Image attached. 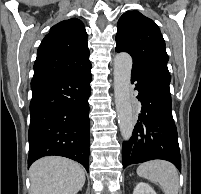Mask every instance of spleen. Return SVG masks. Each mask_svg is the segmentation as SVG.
<instances>
[{"mask_svg":"<svg viewBox=\"0 0 201 194\" xmlns=\"http://www.w3.org/2000/svg\"><path fill=\"white\" fill-rule=\"evenodd\" d=\"M137 174L152 182H158L165 194H178V172L170 162L154 160L143 163L137 168Z\"/></svg>","mask_w":201,"mask_h":194,"instance_id":"spleen-1","label":"spleen"}]
</instances>
